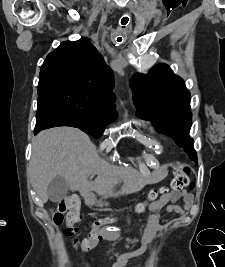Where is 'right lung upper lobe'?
<instances>
[{
    "mask_svg": "<svg viewBox=\"0 0 225 267\" xmlns=\"http://www.w3.org/2000/svg\"><path fill=\"white\" fill-rule=\"evenodd\" d=\"M39 78H60L85 85L98 96L111 101L115 107L112 70L87 38L61 43L48 54Z\"/></svg>",
    "mask_w": 225,
    "mask_h": 267,
    "instance_id": "1",
    "label": "right lung upper lobe"
}]
</instances>
